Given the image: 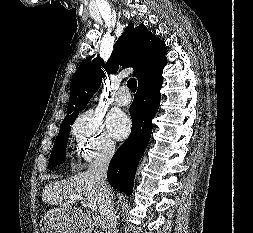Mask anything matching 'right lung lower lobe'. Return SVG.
I'll use <instances>...</instances> for the list:
<instances>
[{
	"instance_id": "1",
	"label": "right lung lower lobe",
	"mask_w": 253,
	"mask_h": 233,
	"mask_svg": "<svg viewBox=\"0 0 253 233\" xmlns=\"http://www.w3.org/2000/svg\"><path fill=\"white\" fill-rule=\"evenodd\" d=\"M162 70L144 79L130 106L132 130L129 138L120 146L110 161L107 179L112 187L130 195L140 159L150 141L152 119L160 100Z\"/></svg>"
}]
</instances>
